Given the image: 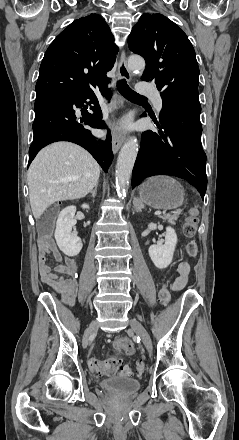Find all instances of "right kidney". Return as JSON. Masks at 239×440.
Returning <instances> with one entry per match:
<instances>
[{
  "mask_svg": "<svg viewBox=\"0 0 239 440\" xmlns=\"http://www.w3.org/2000/svg\"><path fill=\"white\" fill-rule=\"evenodd\" d=\"M81 208L89 210L88 204H82ZM75 214L76 206H68L60 212L56 222L55 240L65 257L78 256L83 246L81 238L72 234V228L77 224Z\"/></svg>",
  "mask_w": 239,
  "mask_h": 440,
  "instance_id": "obj_1",
  "label": "right kidney"
}]
</instances>
